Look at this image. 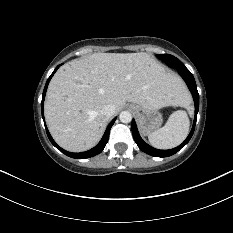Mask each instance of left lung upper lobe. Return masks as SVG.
Masks as SVG:
<instances>
[{
    "label": "left lung upper lobe",
    "instance_id": "left-lung-upper-lobe-1",
    "mask_svg": "<svg viewBox=\"0 0 233 233\" xmlns=\"http://www.w3.org/2000/svg\"><path fill=\"white\" fill-rule=\"evenodd\" d=\"M157 57L165 62L168 66L173 68L175 65H182V63L176 57L170 54L157 55Z\"/></svg>",
    "mask_w": 233,
    "mask_h": 233
}]
</instances>
